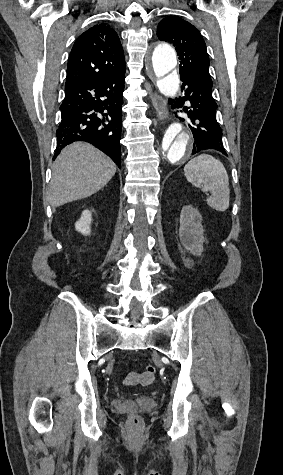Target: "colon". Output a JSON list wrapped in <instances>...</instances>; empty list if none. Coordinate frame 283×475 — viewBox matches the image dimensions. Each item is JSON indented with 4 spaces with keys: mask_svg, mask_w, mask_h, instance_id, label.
I'll list each match as a JSON object with an SVG mask.
<instances>
[{
    "mask_svg": "<svg viewBox=\"0 0 283 475\" xmlns=\"http://www.w3.org/2000/svg\"><path fill=\"white\" fill-rule=\"evenodd\" d=\"M156 366L155 365H152V364H149L147 365L146 367V371H145V374L144 376L151 379L155 376L156 374ZM139 421V417L138 416H134L131 418V422L134 423V424H137Z\"/></svg>",
    "mask_w": 283,
    "mask_h": 475,
    "instance_id": "1",
    "label": "colon"
}]
</instances>
